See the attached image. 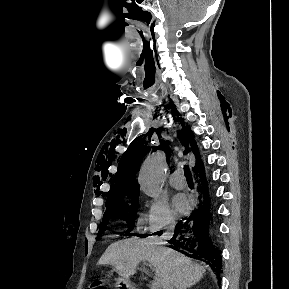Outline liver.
<instances>
[{"label": "liver", "mask_w": 289, "mask_h": 289, "mask_svg": "<svg viewBox=\"0 0 289 289\" xmlns=\"http://www.w3.org/2000/svg\"><path fill=\"white\" fill-rule=\"evenodd\" d=\"M141 261L155 268L156 279L162 286L169 274L173 287L186 289L203 277L206 267L167 247L157 246L151 240L129 238L112 243L99 260L100 265H111L121 277L134 275Z\"/></svg>", "instance_id": "obj_1"}]
</instances>
